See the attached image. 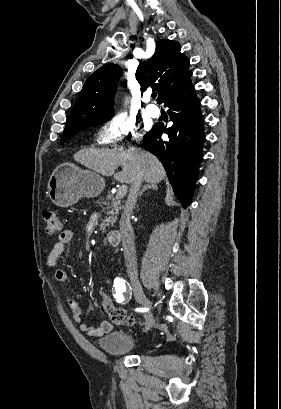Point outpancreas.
Masks as SVG:
<instances>
[{
  "mask_svg": "<svg viewBox=\"0 0 281 409\" xmlns=\"http://www.w3.org/2000/svg\"><path fill=\"white\" fill-rule=\"evenodd\" d=\"M106 198L107 200H105L104 202L105 207H102V209L103 211H106V209H108L107 215H110V217H105L103 223H101V227H105L106 223L107 227H109V225L113 227L114 223H116L117 221V215H119L118 211H120L121 209L120 198H117V196H112V194H107ZM108 198H110L112 202H110Z\"/></svg>",
  "mask_w": 281,
  "mask_h": 409,
  "instance_id": "1",
  "label": "pancreas"
}]
</instances>
